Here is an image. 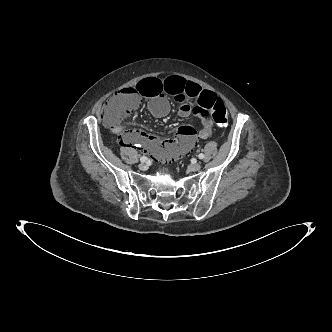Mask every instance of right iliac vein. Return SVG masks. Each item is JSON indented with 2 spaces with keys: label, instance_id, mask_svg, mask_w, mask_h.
I'll return each mask as SVG.
<instances>
[{
  "label": "right iliac vein",
  "instance_id": "obj_1",
  "mask_svg": "<svg viewBox=\"0 0 332 332\" xmlns=\"http://www.w3.org/2000/svg\"><path fill=\"white\" fill-rule=\"evenodd\" d=\"M138 167H139V169L140 170H143V171H145V170H147L148 169V165L146 164V163H140L139 165H138Z\"/></svg>",
  "mask_w": 332,
  "mask_h": 332
}]
</instances>
